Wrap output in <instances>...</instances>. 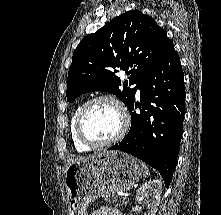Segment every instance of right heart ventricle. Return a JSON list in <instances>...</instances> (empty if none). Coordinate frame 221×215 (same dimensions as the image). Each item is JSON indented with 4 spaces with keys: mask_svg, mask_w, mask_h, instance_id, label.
I'll list each match as a JSON object with an SVG mask.
<instances>
[{
    "mask_svg": "<svg viewBox=\"0 0 221 215\" xmlns=\"http://www.w3.org/2000/svg\"><path fill=\"white\" fill-rule=\"evenodd\" d=\"M80 106H77L70 118V124H69V131H70V137L72 140V143L74 145V148L78 151V152H88L91 150V147L84 145L83 143H81L79 141V139L77 138L76 132H75V120H76V115L78 113Z\"/></svg>",
    "mask_w": 221,
    "mask_h": 215,
    "instance_id": "right-heart-ventricle-1",
    "label": "right heart ventricle"
}]
</instances>
